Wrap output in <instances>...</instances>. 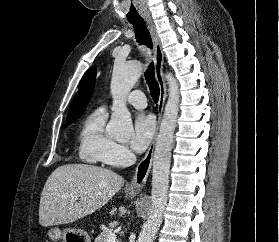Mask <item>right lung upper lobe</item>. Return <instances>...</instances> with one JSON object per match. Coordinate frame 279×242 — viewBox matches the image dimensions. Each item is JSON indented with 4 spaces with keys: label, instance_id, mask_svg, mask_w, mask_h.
Instances as JSON below:
<instances>
[{
    "label": "right lung upper lobe",
    "instance_id": "1",
    "mask_svg": "<svg viewBox=\"0 0 279 242\" xmlns=\"http://www.w3.org/2000/svg\"><path fill=\"white\" fill-rule=\"evenodd\" d=\"M96 76L95 67L90 68L82 77L78 92L71 104L66 122L75 121L84 112L94 87Z\"/></svg>",
    "mask_w": 279,
    "mask_h": 242
}]
</instances>
